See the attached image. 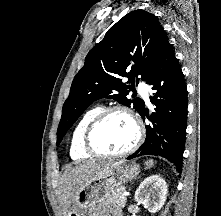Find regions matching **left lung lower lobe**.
Here are the masks:
<instances>
[{
	"instance_id": "0a47b994",
	"label": "left lung lower lobe",
	"mask_w": 221,
	"mask_h": 216,
	"mask_svg": "<svg viewBox=\"0 0 221 216\" xmlns=\"http://www.w3.org/2000/svg\"><path fill=\"white\" fill-rule=\"evenodd\" d=\"M147 84L152 86L151 103L155 106L150 115L145 108L140 115L151 124L146 125L143 145L127 159L143 155H159L172 162L179 173L186 138L187 87L172 45L168 43L151 70Z\"/></svg>"
}]
</instances>
